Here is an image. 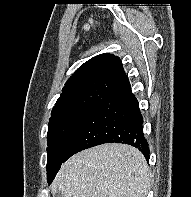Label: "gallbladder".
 <instances>
[{"mask_svg": "<svg viewBox=\"0 0 191 197\" xmlns=\"http://www.w3.org/2000/svg\"><path fill=\"white\" fill-rule=\"evenodd\" d=\"M54 197H64V194L63 192H58Z\"/></svg>", "mask_w": 191, "mask_h": 197, "instance_id": "obj_1", "label": "gallbladder"}]
</instances>
